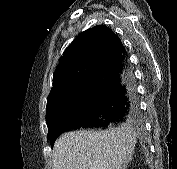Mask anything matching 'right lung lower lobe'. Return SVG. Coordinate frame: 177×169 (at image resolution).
Returning <instances> with one entry per match:
<instances>
[{
  "label": "right lung lower lobe",
  "instance_id": "right-lung-lower-lobe-1",
  "mask_svg": "<svg viewBox=\"0 0 177 169\" xmlns=\"http://www.w3.org/2000/svg\"><path fill=\"white\" fill-rule=\"evenodd\" d=\"M93 93L88 105L63 121L50 139L80 127H108L113 123L140 118L135 77L126 52L100 70L92 79Z\"/></svg>",
  "mask_w": 177,
  "mask_h": 169
}]
</instances>
